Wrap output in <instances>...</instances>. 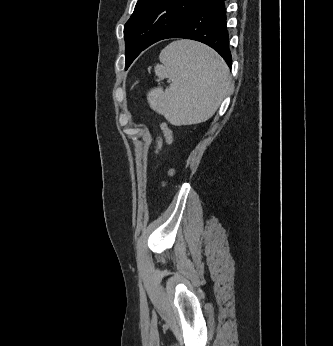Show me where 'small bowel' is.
Instances as JSON below:
<instances>
[{"label": "small bowel", "mask_w": 333, "mask_h": 346, "mask_svg": "<svg viewBox=\"0 0 333 346\" xmlns=\"http://www.w3.org/2000/svg\"><path fill=\"white\" fill-rule=\"evenodd\" d=\"M160 128L164 134L165 137V141L167 143H171L172 142V132L170 130V128L168 127V125L164 122L160 123ZM161 146V142L158 143L157 148L159 149Z\"/></svg>", "instance_id": "obj_1"}]
</instances>
